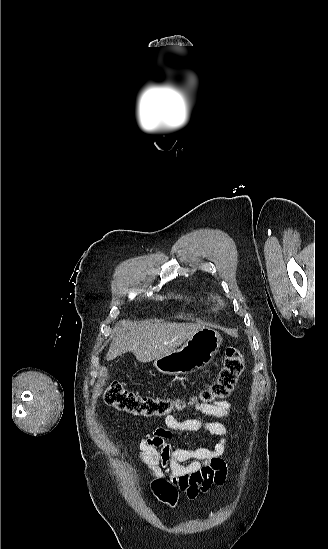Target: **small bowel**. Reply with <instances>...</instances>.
I'll list each match as a JSON object with an SVG mask.
<instances>
[{
  "label": "small bowel",
  "instance_id": "1",
  "mask_svg": "<svg viewBox=\"0 0 328 549\" xmlns=\"http://www.w3.org/2000/svg\"><path fill=\"white\" fill-rule=\"evenodd\" d=\"M188 408L217 419H229L233 404L228 400L211 404L201 403ZM173 431H206L217 436L212 448L173 449L168 443ZM227 428L221 421H207L198 418L178 420L167 415L165 427H158L138 441L139 452L135 457L142 461L152 475L158 479H168L190 499L212 486H221L227 477V462L223 459L226 450Z\"/></svg>",
  "mask_w": 328,
  "mask_h": 549
}]
</instances>
